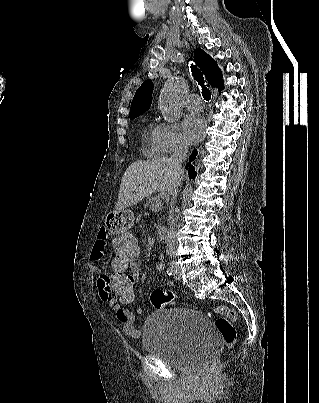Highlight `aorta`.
Here are the masks:
<instances>
[{
  "instance_id": "762f6f07",
  "label": "aorta",
  "mask_w": 319,
  "mask_h": 403,
  "mask_svg": "<svg viewBox=\"0 0 319 403\" xmlns=\"http://www.w3.org/2000/svg\"><path fill=\"white\" fill-rule=\"evenodd\" d=\"M186 88L183 78H175L165 83L159 98V108L166 121L175 123L182 115V98Z\"/></svg>"
}]
</instances>
